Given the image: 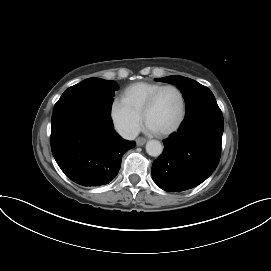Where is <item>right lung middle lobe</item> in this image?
Instances as JSON below:
<instances>
[{
  "instance_id": "dd1d6c3e",
  "label": "right lung middle lobe",
  "mask_w": 271,
  "mask_h": 271,
  "mask_svg": "<svg viewBox=\"0 0 271 271\" xmlns=\"http://www.w3.org/2000/svg\"><path fill=\"white\" fill-rule=\"evenodd\" d=\"M115 81L99 78H89L68 88L55 104L53 116L63 112L86 108L90 106H104L110 110L114 92L118 90Z\"/></svg>"
}]
</instances>
